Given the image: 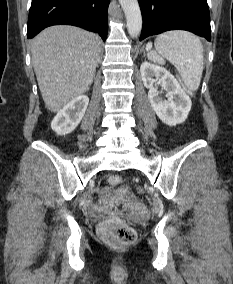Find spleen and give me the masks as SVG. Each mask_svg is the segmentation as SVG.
<instances>
[{
    "instance_id": "obj_1",
    "label": "spleen",
    "mask_w": 233,
    "mask_h": 284,
    "mask_svg": "<svg viewBox=\"0 0 233 284\" xmlns=\"http://www.w3.org/2000/svg\"><path fill=\"white\" fill-rule=\"evenodd\" d=\"M156 51L148 53L151 60L167 59L178 70L185 87L196 91L200 85L204 56L198 37L186 31H168L155 39Z\"/></svg>"
}]
</instances>
